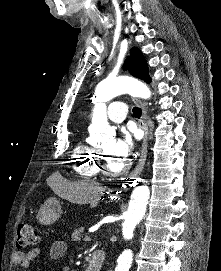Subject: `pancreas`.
I'll use <instances>...</instances> for the list:
<instances>
[{
	"label": "pancreas",
	"instance_id": "obj_1",
	"mask_svg": "<svg viewBox=\"0 0 221 271\" xmlns=\"http://www.w3.org/2000/svg\"><path fill=\"white\" fill-rule=\"evenodd\" d=\"M81 235H83V227L75 229L72 233V237H70V242H81Z\"/></svg>",
	"mask_w": 221,
	"mask_h": 271
}]
</instances>
